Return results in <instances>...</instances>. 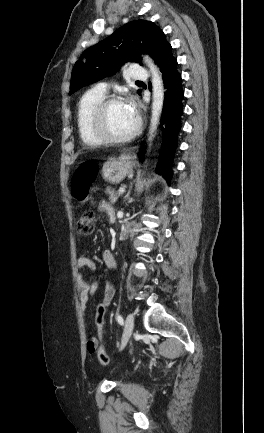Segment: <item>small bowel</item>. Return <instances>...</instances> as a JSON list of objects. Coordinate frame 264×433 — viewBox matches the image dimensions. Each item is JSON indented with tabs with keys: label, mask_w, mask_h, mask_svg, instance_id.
Wrapping results in <instances>:
<instances>
[{
	"label": "small bowel",
	"mask_w": 264,
	"mask_h": 433,
	"mask_svg": "<svg viewBox=\"0 0 264 433\" xmlns=\"http://www.w3.org/2000/svg\"><path fill=\"white\" fill-rule=\"evenodd\" d=\"M99 210L106 213L111 221L115 219V211L113 207L106 201H101L99 203ZM104 262L109 268H117L118 261L114 253L110 250L106 251L103 255ZM78 266L80 268H86L89 270L95 269V263L86 255L81 254L78 258ZM77 283L80 289V305L83 312H86L90 298L96 294L97 290L103 286L104 288V299L109 305L113 295L114 287L111 283L107 281L103 282H93L91 284L85 282L83 277L79 275L77 277ZM99 340L96 337H90L87 341V350L90 354H94L99 348Z\"/></svg>",
	"instance_id": "small-bowel-1"
}]
</instances>
